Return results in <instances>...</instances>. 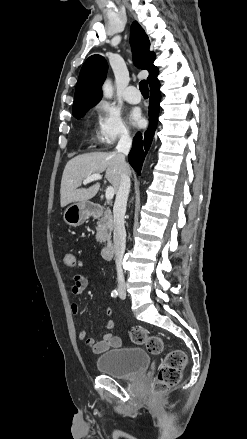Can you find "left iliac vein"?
<instances>
[{"label":"left iliac vein","mask_w":247,"mask_h":439,"mask_svg":"<svg viewBox=\"0 0 247 439\" xmlns=\"http://www.w3.org/2000/svg\"><path fill=\"white\" fill-rule=\"evenodd\" d=\"M119 296H120L121 299H125V297H126V292H125L124 289H122V290L120 291Z\"/></svg>","instance_id":"1"}]
</instances>
